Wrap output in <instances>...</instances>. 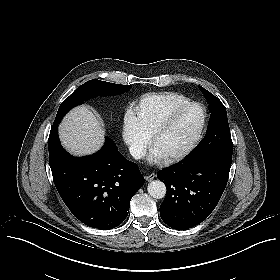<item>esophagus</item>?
I'll list each match as a JSON object with an SVG mask.
<instances>
[{
	"label": "esophagus",
	"instance_id": "34e87169",
	"mask_svg": "<svg viewBox=\"0 0 280 280\" xmlns=\"http://www.w3.org/2000/svg\"><path fill=\"white\" fill-rule=\"evenodd\" d=\"M144 178L146 181H152L155 178V174L152 173V174L146 175Z\"/></svg>",
	"mask_w": 280,
	"mask_h": 280
}]
</instances>
